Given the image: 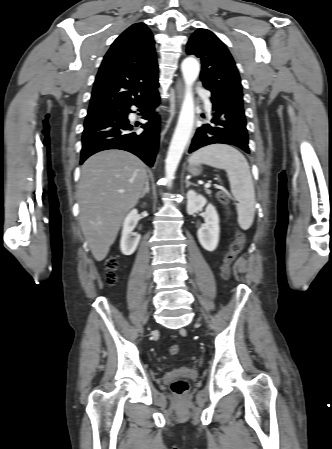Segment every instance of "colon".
Wrapping results in <instances>:
<instances>
[{"label":"colon","instance_id":"5ec220e1","mask_svg":"<svg viewBox=\"0 0 332 449\" xmlns=\"http://www.w3.org/2000/svg\"><path fill=\"white\" fill-rule=\"evenodd\" d=\"M218 200L224 205L228 206L229 198L225 190H219L217 192ZM246 241V236L243 232L239 231L236 233L235 239L230 244L229 250L223 259L221 266V276L223 279L228 280L231 274V264L236 259L237 255L241 252ZM118 268V261L115 258H110L106 262V272H105V282L109 286H114L116 284L117 278L115 271ZM169 353L171 356H176L180 353V347L178 345H172L169 348ZM188 389V383L185 380L179 379L172 383L171 390L173 393L180 395L186 392Z\"/></svg>","mask_w":332,"mask_h":449}]
</instances>
